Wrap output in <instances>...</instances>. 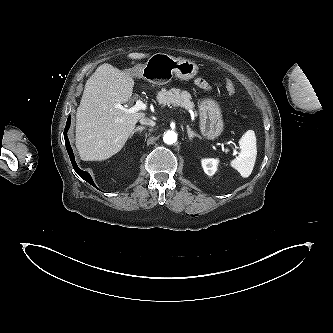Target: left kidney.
<instances>
[{
    "label": "left kidney",
    "instance_id": "obj_1",
    "mask_svg": "<svg viewBox=\"0 0 333 333\" xmlns=\"http://www.w3.org/2000/svg\"><path fill=\"white\" fill-rule=\"evenodd\" d=\"M218 162L219 161L217 159H211V158L202 159L201 163H202L204 172L209 176L214 175L217 170Z\"/></svg>",
    "mask_w": 333,
    "mask_h": 333
}]
</instances>
